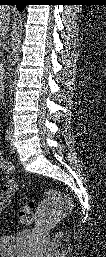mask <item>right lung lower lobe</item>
I'll return each mask as SVG.
<instances>
[{
    "mask_svg": "<svg viewBox=\"0 0 106 257\" xmlns=\"http://www.w3.org/2000/svg\"><path fill=\"white\" fill-rule=\"evenodd\" d=\"M1 1H4V2H5V0H1ZM7 1H11V2H9L10 4L16 5V7L18 8L19 11H21L22 6L25 4V3H24L25 0H7ZM9 3H8V4H9ZM2 4H3V3H2Z\"/></svg>",
    "mask_w": 106,
    "mask_h": 257,
    "instance_id": "right-lung-lower-lobe-1",
    "label": "right lung lower lobe"
}]
</instances>
